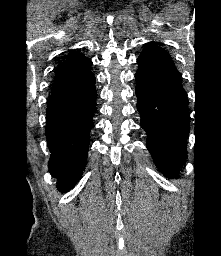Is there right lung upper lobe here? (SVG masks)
<instances>
[{"instance_id": "cb5924a9", "label": "right lung upper lobe", "mask_w": 221, "mask_h": 256, "mask_svg": "<svg viewBox=\"0 0 221 256\" xmlns=\"http://www.w3.org/2000/svg\"><path fill=\"white\" fill-rule=\"evenodd\" d=\"M92 62L77 51H72L58 66L48 104L76 98L95 89Z\"/></svg>"}]
</instances>
